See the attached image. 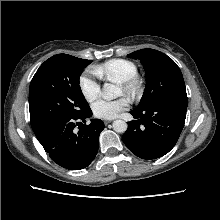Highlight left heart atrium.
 Instances as JSON below:
<instances>
[{"instance_id":"left-heart-atrium-1","label":"left heart atrium","mask_w":220,"mask_h":220,"mask_svg":"<svg viewBox=\"0 0 220 220\" xmlns=\"http://www.w3.org/2000/svg\"><path fill=\"white\" fill-rule=\"evenodd\" d=\"M128 106L129 102L124 97L115 100L99 99L92 104V111L97 118L112 119Z\"/></svg>"}]
</instances>
